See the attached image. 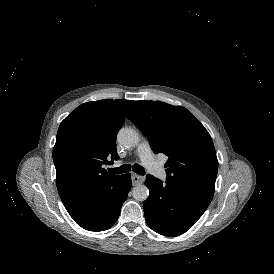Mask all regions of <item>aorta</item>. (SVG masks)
<instances>
[{"label":"aorta","mask_w":274,"mask_h":274,"mask_svg":"<svg viewBox=\"0 0 274 274\" xmlns=\"http://www.w3.org/2000/svg\"><path fill=\"white\" fill-rule=\"evenodd\" d=\"M120 145L131 148L139 143V135L136 130L131 128H121L117 134ZM133 198L137 201H145L149 196V189L146 185H136L132 190Z\"/></svg>","instance_id":"obj_1"}]
</instances>
